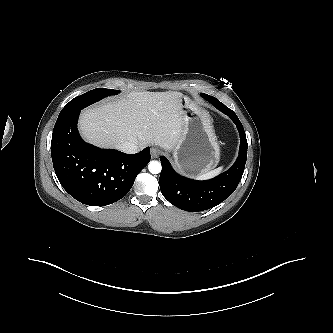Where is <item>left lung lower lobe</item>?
Instances as JSON below:
<instances>
[{"mask_svg":"<svg viewBox=\"0 0 333 333\" xmlns=\"http://www.w3.org/2000/svg\"><path fill=\"white\" fill-rule=\"evenodd\" d=\"M201 96L228 115L236 124L240 134V149L236 162L229 170L205 181H197L177 174L170 162L165 157H160L162 171L159 183L163 196L174 206L192 212L210 209L235 191L244 172L248 147L244 128L237 115L217 98L207 94Z\"/></svg>","mask_w":333,"mask_h":333,"instance_id":"1","label":"left lung lower lobe"}]
</instances>
